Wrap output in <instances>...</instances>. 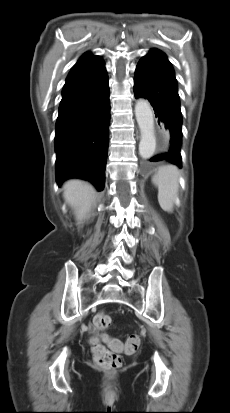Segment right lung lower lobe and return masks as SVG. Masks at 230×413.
Masks as SVG:
<instances>
[{
  "label": "right lung lower lobe",
  "mask_w": 230,
  "mask_h": 413,
  "mask_svg": "<svg viewBox=\"0 0 230 413\" xmlns=\"http://www.w3.org/2000/svg\"><path fill=\"white\" fill-rule=\"evenodd\" d=\"M110 102L105 67L66 81L56 122V178L90 181L99 191L105 182Z\"/></svg>",
  "instance_id": "1"
}]
</instances>
